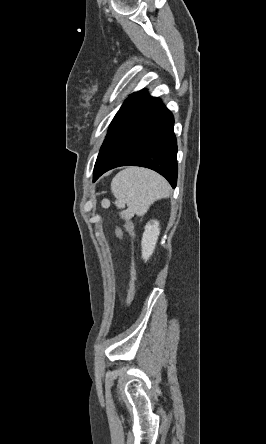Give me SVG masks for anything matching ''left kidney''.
<instances>
[{"instance_id":"1","label":"left kidney","mask_w":266,"mask_h":444,"mask_svg":"<svg viewBox=\"0 0 266 444\" xmlns=\"http://www.w3.org/2000/svg\"><path fill=\"white\" fill-rule=\"evenodd\" d=\"M144 229L141 241L142 258L147 262L154 252L160 234L159 222L157 220H151L146 224Z\"/></svg>"}]
</instances>
